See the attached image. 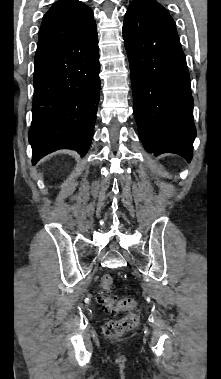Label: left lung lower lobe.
<instances>
[{"label":"left lung lower lobe","mask_w":221,"mask_h":379,"mask_svg":"<svg viewBox=\"0 0 221 379\" xmlns=\"http://www.w3.org/2000/svg\"><path fill=\"white\" fill-rule=\"evenodd\" d=\"M123 39L129 57L134 116L145 149L192 159L196 129L186 58L175 22L140 1L129 6Z\"/></svg>","instance_id":"left-lung-lower-lobe-1"}]
</instances>
